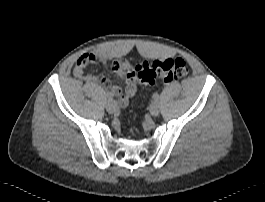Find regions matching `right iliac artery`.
Returning a JSON list of instances; mask_svg holds the SVG:
<instances>
[{"instance_id": "1", "label": "right iliac artery", "mask_w": 265, "mask_h": 202, "mask_svg": "<svg viewBox=\"0 0 265 202\" xmlns=\"http://www.w3.org/2000/svg\"><path fill=\"white\" fill-rule=\"evenodd\" d=\"M106 96H107L108 100H111V96L109 93H107Z\"/></svg>"}]
</instances>
